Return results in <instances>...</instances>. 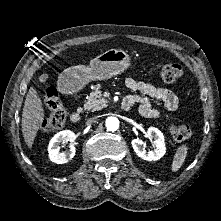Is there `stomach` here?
Here are the masks:
<instances>
[{
  "mask_svg": "<svg viewBox=\"0 0 221 221\" xmlns=\"http://www.w3.org/2000/svg\"><path fill=\"white\" fill-rule=\"evenodd\" d=\"M129 54L121 49H109L90 61L88 66L69 67L60 75L59 82L68 92H77L95 80H107L131 66Z\"/></svg>",
  "mask_w": 221,
  "mask_h": 221,
  "instance_id": "stomach-1",
  "label": "stomach"
}]
</instances>
